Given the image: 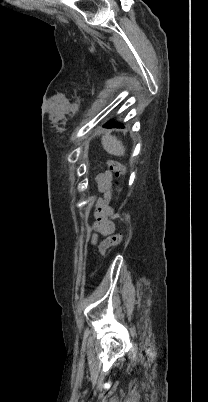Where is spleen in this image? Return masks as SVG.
I'll use <instances>...</instances> for the list:
<instances>
[{
	"label": "spleen",
	"mask_w": 208,
	"mask_h": 402,
	"mask_svg": "<svg viewBox=\"0 0 208 402\" xmlns=\"http://www.w3.org/2000/svg\"><path fill=\"white\" fill-rule=\"evenodd\" d=\"M102 146L111 156H124L125 154V148L122 142H120L116 136H111V134L103 136Z\"/></svg>",
	"instance_id": "spleen-1"
}]
</instances>
